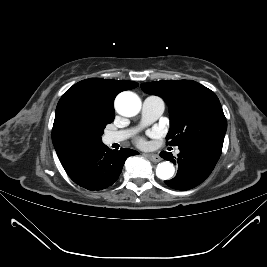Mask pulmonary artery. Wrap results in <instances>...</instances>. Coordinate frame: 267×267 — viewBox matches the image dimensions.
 Returning <instances> with one entry per match:
<instances>
[{
    "mask_svg": "<svg viewBox=\"0 0 267 267\" xmlns=\"http://www.w3.org/2000/svg\"><path fill=\"white\" fill-rule=\"evenodd\" d=\"M165 103L162 98L158 96H148L144 99L142 105V125H147L158 119L164 112ZM132 130H121L115 132H109L105 140L107 143H118L127 139L131 134Z\"/></svg>",
    "mask_w": 267,
    "mask_h": 267,
    "instance_id": "pulmonary-artery-1",
    "label": "pulmonary artery"
}]
</instances>
